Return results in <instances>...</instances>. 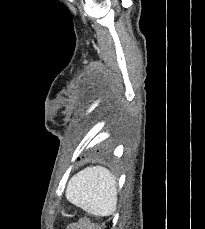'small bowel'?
I'll use <instances>...</instances> for the list:
<instances>
[{
    "label": "small bowel",
    "mask_w": 205,
    "mask_h": 229,
    "mask_svg": "<svg viewBox=\"0 0 205 229\" xmlns=\"http://www.w3.org/2000/svg\"><path fill=\"white\" fill-rule=\"evenodd\" d=\"M70 229H97V228L94 225L90 224L88 221H82L72 226Z\"/></svg>",
    "instance_id": "small-bowel-1"
}]
</instances>
